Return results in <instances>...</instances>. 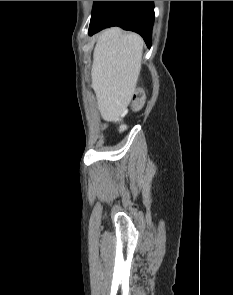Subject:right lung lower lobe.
<instances>
[{"mask_svg": "<svg viewBox=\"0 0 233 295\" xmlns=\"http://www.w3.org/2000/svg\"><path fill=\"white\" fill-rule=\"evenodd\" d=\"M153 1H95L89 26L92 35L104 28L119 26L139 33L151 46L154 22Z\"/></svg>", "mask_w": 233, "mask_h": 295, "instance_id": "right-lung-lower-lobe-1", "label": "right lung lower lobe"}]
</instances>
